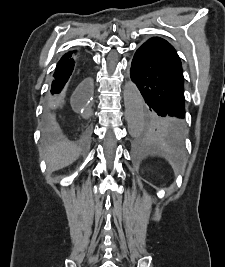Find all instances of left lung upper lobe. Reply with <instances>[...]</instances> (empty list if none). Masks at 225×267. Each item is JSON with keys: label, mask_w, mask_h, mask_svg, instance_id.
I'll use <instances>...</instances> for the list:
<instances>
[{"label": "left lung upper lobe", "mask_w": 225, "mask_h": 267, "mask_svg": "<svg viewBox=\"0 0 225 267\" xmlns=\"http://www.w3.org/2000/svg\"><path fill=\"white\" fill-rule=\"evenodd\" d=\"M146 127L150 132L159 133L167 138L180 141L182 137L176 135L172 130V122L166 117L158 116L151 110L146 111L145 115ZM183 132L185 131L184 121L182 122Z\"/></svg>", "instance_id": "left-lung-upper-lobe-1"}]
</instances>
